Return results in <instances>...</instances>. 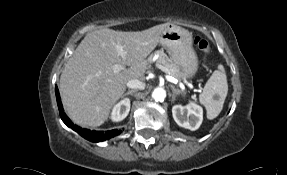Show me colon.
<instances>
[{"label":"colon","instance_id":"1","mask_svg":"<svg viewBox=\"0 0 287 175\" xmlns=\"http://www.w3.org/2000/svg\"><path fill=\"white\" fill-rule=\"evenodd\" d=\"M195 46L203 53L204 59L210 52V46L206 39L202 37H196L194 40Z\"/></svg>","mask_w":287,"mask_h":175}]
</instances>
